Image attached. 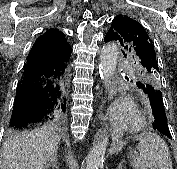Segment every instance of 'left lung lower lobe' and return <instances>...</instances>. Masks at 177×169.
<instances>
[{
  "instance_id": "0a47b994",
  "label": "left lung lower lobe",
  "mask_w": 177,
  "mask_h": 169,
  "mask_svg": "<svg viewBox=\"0 0 177 169\" xmlns=\"http://www.w3.org/2000/svg\"><path fill=\"white\" fill-rule=\"evenodd\" d=\"M139 88L143 89V91L147 93L149 96L152 112L155 119L152 126L153 129L171 139L172 137L168 128L167 118L162 101V93L160 89H156L155 87L148 83L143 84Z\"/></svg>"
}]
</instances>
